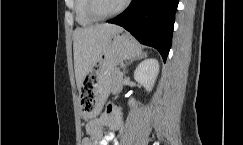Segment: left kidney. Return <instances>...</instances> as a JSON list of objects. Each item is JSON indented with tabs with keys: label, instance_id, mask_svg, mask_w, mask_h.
<instances>
[{
	"label": "left kidney",
	"instance_id": "5707ae66",
	"mask_svg": "<svg viewBox=\"0 0 243 145\" xmlns=\"http://www.w3.org/2000/svg\"><path fill=\"white\" fill-rule=\"evenodd\" d=\"M159 73V63L156 59H146L142 61L134 71V79L143 85L146 91L150 92L155 84ZM129 106L135 105V100H129Z\"/></svg>",
	"mask_w": 243,
	"mask_h": 145
}]
</instances>
